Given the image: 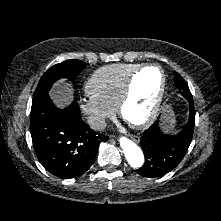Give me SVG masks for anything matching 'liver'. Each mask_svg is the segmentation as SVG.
Masks as SVG:
<instances>
[{"instance_id": "obj_1", "label": "liver", "mask_w": 221, "mask_h": 221, "mask_svg": "<svg viewBox=\"0 0 221 221\" xmlns=\"http://www.w3.org/2000/svg\"><path fill=\"white\" fill-rule=\"evenodd\" d=\"M50 97L58 107L64 108L73 99V88L71 84L60 80L50 92ZM164 119L170 126L174 123L172 113L167 109H164Z\"/></svg>"}]
</instances>
